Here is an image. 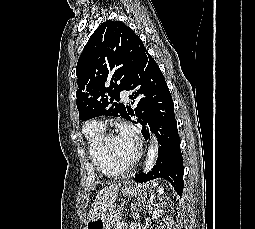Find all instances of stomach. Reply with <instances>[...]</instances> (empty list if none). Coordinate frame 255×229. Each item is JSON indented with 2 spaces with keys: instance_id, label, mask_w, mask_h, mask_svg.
Masks as SVG:
<instances>
[{
  "instance_id": "0dacf381",
  "label": "stomach",
  "mask_w": 255,
  "mask_h": 229,
  "mask_svg": "<svg viewBox=\"0 0 255 229\" xmlns=\"http://www.w3.org/2000/svg\"><path fill=\"white\" fill-rule=\"evenodd\" d=\"M138 190V187H135L130 183H125L122 187L121 193L124 196H135ZM120 218V211L111 206L97 217L88 220L85 229H113L114 225Z\"/></svg>"
}]
</instances>
